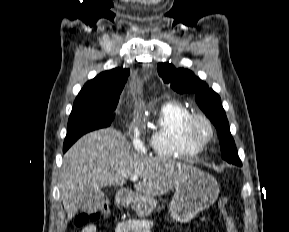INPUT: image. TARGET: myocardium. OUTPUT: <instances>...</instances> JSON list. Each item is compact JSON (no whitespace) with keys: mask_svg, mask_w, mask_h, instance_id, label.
Returning a JSON list of instances; mask_svg holds the SVG:
<instances>
[{"mask_svg":"<svg viewBox=\"0 0 289 232\" xmlns=\"http://www.w3.org/2000/svg\"><path fill=\"white\" fill-rule=\"evenodd\" d=\"M199 123H203L208 131V137L199 139L195 134V128ZM183 135L185 139L193 146L202 149L212 142L215 136V130L211 121L201 113H191L184 121Z\"/></svg>","mask_w":289,"mask_h":232,"instance_id":"myocardium-1","label":"myocardium"}]
</instances>
